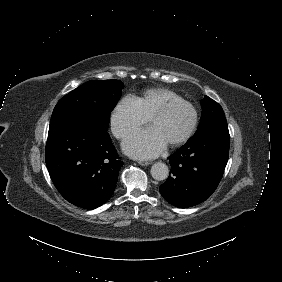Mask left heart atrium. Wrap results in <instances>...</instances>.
<instances>
[{
  "label": "left heart atrium",
  "instance_id": "39dd6f15",
  "mask_svg": "<svg viewBox=\"0 0 282 282\" xmlns=\"http://www.w3.org/2000/svg\"><path fill=\"white\" fill-rule=\"evenodd\" d=\"M166 143L159 129L152 126L131 134L124 142V149L134 157L151 158L162 152Z\"/></svg>",
  "mask_w": 282,
  "mask_h": 282
}]
</instances>
